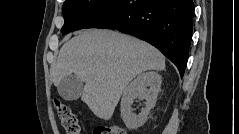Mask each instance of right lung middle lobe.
Masks as SVG:
<instances>
[{
	"label": "right lung middle lobe",
	"mask_w": 239,
	"mask_h": 134,
	"mask_svg": "<svg viewBox=\"0 0 239 134\" xmlns=\"http://www.w3.org/2000/svg\"><path fill=\"white\" fill-rule=\"evenodd\" d=\"M116 0H65L63 34L82 29L95 15Z\"/></svg>",
	"instance_id": "1"
}]
</instances>
